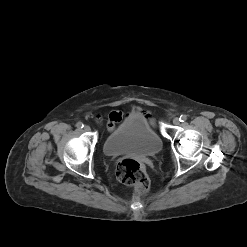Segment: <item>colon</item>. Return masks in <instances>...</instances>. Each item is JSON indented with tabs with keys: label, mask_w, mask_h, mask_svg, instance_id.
Listing matches in <instances>:
<instances>
[{
	"label": "colon",
	"mask_w": 247,
	"mask_h": 247,
	"mask_svg": "<svg viewBox=\"0 0 247 247\" xmlns=\"http://www.w3.org/2000/svg\"><path fill=\"white\" fill-rule=\"evenodd\" d=\"M117 178L134 186L140 193H146L149 189V178L144 165L138 160L126 158L120 161L116 169Z\"/></svg>",
	"instance_id": "colon-1"
}]
</instances>
